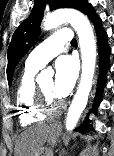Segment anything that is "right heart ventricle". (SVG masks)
Masks as SVG:
<instances>
[{
	"mask_svg": "<svg viewBox=\"0 0 114 156\" xmlns=\"http://www.w3.org/2000/svg\"><path fill=\"white\" fill-rule=\"evenodd\" d=\"M40 68L25 63L16 86V110L21 126L26 127L42 121L45 115L36 103L35 75Z\"/></svg>",
	"mask_w": 114,
	"mask_h": 156,
	"instance_id": "obj_1",
	"label": "right heart ventricle"
}]
</instances>
